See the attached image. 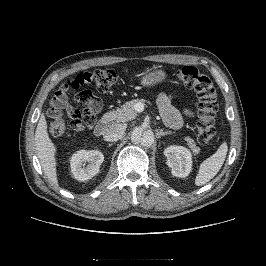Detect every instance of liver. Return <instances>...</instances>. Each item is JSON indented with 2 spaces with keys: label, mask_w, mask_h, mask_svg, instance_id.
<instances>
[{
  "label": "liver",
  "mask_w": 266,
  "mask_h": 266,
  "mask_svg": "<svg viewBox=\"0 0 266 266\" xmlns=\"http://www.w3.org/2000/svg\"><path fill=\"white\" fill-rule=\"evenodd\" d=\"M35 146L42 169L48 180L55 186H58L56 158V146L49 137L47 131V122L42 113L35 131Z\"/></svg>",
  "instance_id": "liver-1"
}]
</instances>
